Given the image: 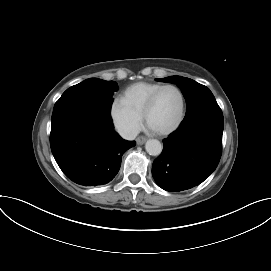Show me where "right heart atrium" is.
Returning a JSON list of instances; mask_svg holds the SVG:
<instances>
[{
	"label": "right heart atrium",
	"mask_w": 271,
	"mask_h": 271,
	"mask_svg": "<svg viewBox=\"0 0 271 271\" xmlns=\"http://www.w3.org/2000/svg\"><path fill=\"white\" fill-rule=\"evenodd\" d=\"M110 118L117 132L126 139L134 138L142 126V116L132 111L121 99L110 105Z\"/></svg>",
	"instance_id": "1"
}]
</instances>
